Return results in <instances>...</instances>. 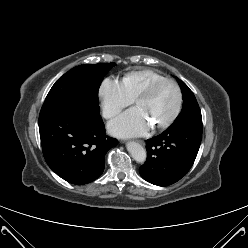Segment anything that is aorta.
<instances>
[{
  "instance_id": "aorta-1",
  "label": "aorta",
  "mask_w": 248,
  "mask_h": 248,
  "mask_svg": "<svg viewBox=\"0 0 248 248\" xmlns=\"http://www.w3.org/2000/svg\"><path fill=\"white\" fill-rule=\"evenodd\" d=\"M127 150L136 162L144 163L146 161V150L139 143L129 142L127 144Z\"/></svg>"
}]
</instances>
